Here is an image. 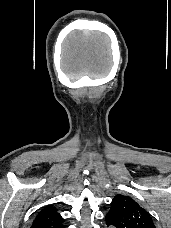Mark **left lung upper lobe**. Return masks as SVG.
<instances>
[{
  "instance_id": "obj_1",
  "label": "left lung upper lobe",
  "mask_w": 171,
  "mask_h": 228,
  "mask_svg": "<svg viewBox=\"0 0 171 228\" xmlns=\"http://www.w3.org/2000/svg\"><path fill=\"white\" fill-rule=\"evenodd\" d=\"M105 219L116 228H155L150 214L134 199L121 194L112 200Z\"/></svg>"
}]
</instances>
